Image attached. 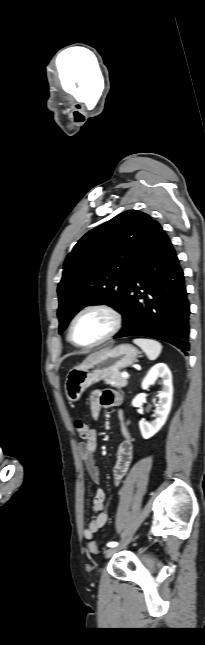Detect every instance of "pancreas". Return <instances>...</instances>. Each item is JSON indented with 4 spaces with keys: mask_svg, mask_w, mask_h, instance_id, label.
<instances>
[{
    "mask_svg": "<svg viewBox=\"0 0 205 645\" xmlns=\"http://www.w3.org/2000/svg\"><path fill=\"white\" fill-rule=\"evenodd\" d=\"M105 383L116 388H122L127 385V378H123L121 373H114L105 378Z\"/></svg>",
    "mask_w": 205,
    "mask_h": 645,
    "instance_id": "pancreas-1",
    "label": "pancreas"
}]
</instances>
